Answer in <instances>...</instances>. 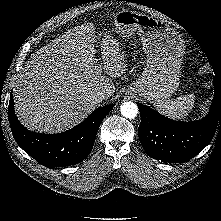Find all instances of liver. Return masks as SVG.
Listing matches in <instances>:
<instances>
[{
  "instance_id": "1",
  "label": "liver",
  "mask_w": 221,
  "mask_h": 221,
  "mask_svg": "<svg viewBox=\"0 0 221 221\" xmlns=\"http://www.w3.org/2000/svg\"><path fill=\"white\" fill-rule=\"evenodd\" d=\"M97 69L95 28L83 24L43 46L28 60L14 88L15 111L29 130L58 133L82 122L97 106L96 91L115 92L111 78L127 68L120 43L107 31Z\"/></svg>"
}]
</instances>
